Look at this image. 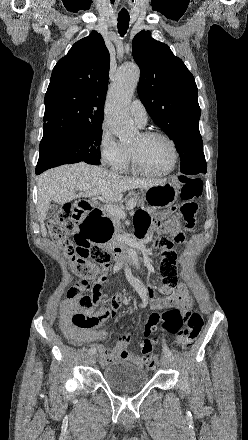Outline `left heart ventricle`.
Instances as JSON below:
<instances>
[{
    "label": "left heart ventricle",
    "instance_id": "obj_1",
    "mask_svg": "<svg viewBox=\"0 0 248 440\" xmlns=\"http://www.w3.org/2000/svg\"><path fill=\"white\" fill-rule=\"evenodd\" d=\"M140 158L142 165L149 171L167 170L173 160L170 144L162 138L145 139L141 134L131 145Z\"/></svg>",
    "mask_w": 248,
    "mask_h": 440
}]
</instances>
